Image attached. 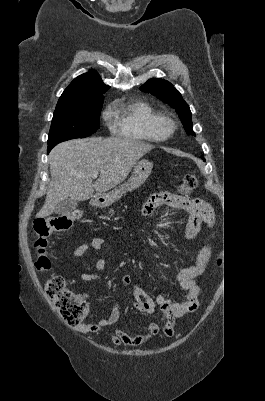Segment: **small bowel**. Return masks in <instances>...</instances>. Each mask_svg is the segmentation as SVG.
Wrapping results in <instances>:
<instances>
[{"instance_id": "obj_1", "label": "small bowel", "mask_w": 265, "mask_h": 401, "mask_svg": "<svg viewBox=\"0 0 265 401\" xmlns=\"http://www.w3.org/2000/svg\"><path fill=\"white\" fill-rule=\"evenodd\" d=\"M160 205H166L171 208L183 210L188 213V221L186 224L185 237L186 239L195 238L201 230L202 224L211 227L215 221V213L213 207L202 198H189L181 195H176L170 192H158L153 194L143 205V215L152 214ZM105 243L104 238L95 237L91 241L84 242L77 246L72 257L78 258L84 255L89 250L100 251ZM212 249L209 244H205L199 251L196 263L193 266L183 268L175 275V280L180 288L186 292L187 299L179 302L159 295L155 299L147 295V293L137 284L133 285L132 296L133 305L141 313L153 314L156 306H160L163 314L164 326L170 325L173 328L175 320L184 315L194 312L198 308V297L201 289L198 286L196 279L206 269L211 258ZM97 269H102L105 266V261L99 257L95 261ZM81 281H100L102 277L96 273H85L80 276ZM131 276L125 275L122 281L125 285L131 283ZM121 301H117L112 308L108 318L101 319L95 323L80 324L76 327L77 331L82 333H99L106 332L111 342L115 345L140 346L151 340L159 331V324L152 322L147 325L146 331L130 335L114 325L120 317ZM113 327L112 330L108 328Z\"/></svg>"}]
</instances>
